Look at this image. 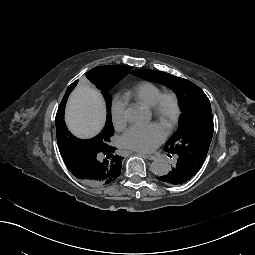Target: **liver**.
Listing matches in <instances>:
<instances>
[{"label":"liver","mask_w":255,"mask_h":255,"mask_svg":"<svg viewBox=\"0 0 255 255\" xmlns=\"http://www.w3.org/2000/svg\"><path fill=\"white\" fill-rule=\"evenodd\" d=\"M105 120L104 104L99 93L89 84L80 82L67 108V123L80 137L96 134Z\"/></svg>","instance_id":"6515ba94"}]
</instances>
